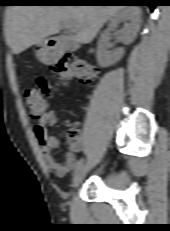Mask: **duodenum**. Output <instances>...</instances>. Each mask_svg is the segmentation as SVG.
Returning a JSON list of instances; mask_svg holds the SVG:
<instances>
[{"mask_svg": "<svg viewBox=\"0 0 170 231\" xmlns=\"http://www.w3.org/2000/svg\"><path fill=\"white\" fill-rule=\"evenodd\" d=\"M78 48V44L76 42H67L62 48H58L55 50L56 54H61L65 50H75Z\"/></svg>", "mask_w": 170, "mask_h": 231, "instance_id": "1", "label": "duodenum"}]
</instances>
